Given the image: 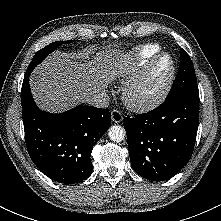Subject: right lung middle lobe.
<instances>
[{
    "instance_id": "1",
    "label": "right lung middle lobe",
    "mask_w": 221,
    "mask_h": 221,
    "mask_svg": "<svg viewBox=\"0 0 221 221\" xmlns=\"http://www.w3.org/2000/svg\"><path fill=\"white\" fill-rule=\"evenodd\" d=\"M73 40H68V41H57L53 42L43 49L39 50L33 57L29 67L27 70H33L35 66H37L44 58L51 52H53L57 47L61 46L62 44H67V43H72Z\"/></svg>"
}]
</instances>
